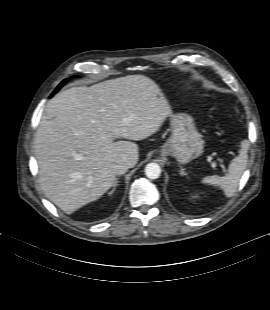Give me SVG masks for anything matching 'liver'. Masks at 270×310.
<instances>
[{
  "label": "liver",
  "instance_id": "liver-1",
  "mask_svg": "<svg viewBox=\"0 0 270 310\" xmlns=\"http://www.w3.org/2000/svg\"><path fill=\"white\" fill-rule=\"evenodd\" d=\"M171 115L158 85L143 75L74 87L51 99L34 140L39 182L66 214L95 201L115 183L114 165L138 161V145Z\"/></svg>",
  "mask_w": 270,
  "mask_h": 310
}]
</instances>
